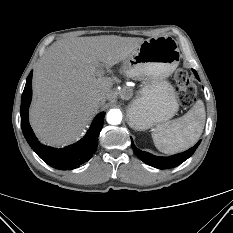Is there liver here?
I'll return each instance as SVG.
<instances>
[{
	"instance_id": "6515ba94",
	"label": "liver",
	"mask_w": 233,
	"mask_h": 233,
	"mask_svg": "<svg viewBox=\"0 0 233 233\" xmlns=\"http://www.w3.org/2000/svg\"><path fill=\"white\" fill-rule=\"evenodd\" d=\"M143 41L101 35L54 42L33 73L29 117L37 137L51 146L76 141L111 94L113 83L102 67L125 60Z\"/></svg>"
}]
</instances>
